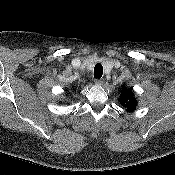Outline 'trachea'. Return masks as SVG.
<instances>
[{
    "label": "trachea",
    "instance_id": "1",
    "mask_svg": "<svg viewBox=\"0 0 175 175\" xmlns=\"http://www.w3.org/2000/svg\"><path fill=\"white\" fill-rule=\"evenodd\" d=\"M103 74V66L100 63H97L94 67V78L100 79Z\"/></svg>",
    "mask_w": 175,
    "mask_h": 175
}]
</instances>
